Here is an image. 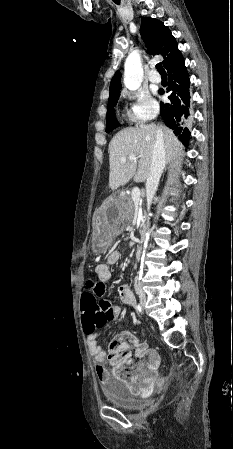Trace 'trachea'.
<instances>
[{
  "label": "trachea",
  "mask_w": 233,
  "mask_h": 449,
  "mask_svg": "<svg viewBox=\"0 0 233 449\" xmlns=\"http://www.w3.org/2000/svg\"><path fill=\"white\" fill-rule=\"evenodd\" d=\"M156 68H157V70H158V72H159L160 74H166V71L164 70V68H163V66H162V63H158V64L156 65Z\"/></svg>",
  "instance_id": "1"
}]
</instances>
